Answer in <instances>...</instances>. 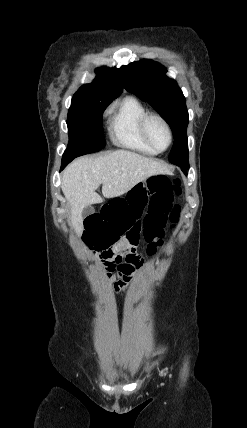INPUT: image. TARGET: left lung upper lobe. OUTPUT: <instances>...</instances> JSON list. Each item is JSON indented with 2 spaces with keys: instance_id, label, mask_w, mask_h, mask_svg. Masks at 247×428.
I'll list each match as a JSON object with an SVG mask.
<instances>
[{
  "instance_id": "obj_1",
  "label": "left lung upper lobe",
  "mask_w": 247,
  "mask_h": 428,
  "mask_svg": "<svg viewBox=\"0 0 247 428\" xmlns=\"http://www.w3.org/2000/svg\"><path fill=\"white\" fill-rule=\"evenodd\" d=\"M163 66L150 59L130 63L119 69L124 88L148 102L170 125L174 144L169 155L173 164L188 163V111L177 83L168 78ZM189 164V163H188Z\"/></svg>"
}]
</instances>
